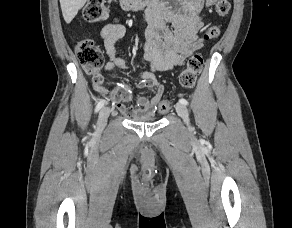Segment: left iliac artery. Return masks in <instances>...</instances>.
I'll return each instance as SVG.
<instances>
[{
	"label": "left iliac artery",
	"instance_id": "left-iliac-artery-1",
	"mask_svg": "<svg viewBox=\"0 0 292 228\" xmlns=\"http://www.w3.org/2000/svg\"><path fill=\"white\" fill-rule=\"evenodd\" d=\"M179 103H181V104H183V105H188V101H187L186 99H184V98H181V99L179 100Z\"/></svg>",
	"mask_w": 292,
	"mask_h": 228
}]
</instances>
